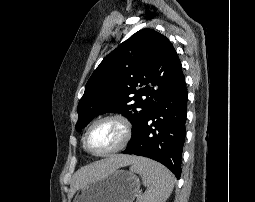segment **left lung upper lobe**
<instances>
[{"label": "left lung upper lobe", "instance_id": "1", "mask_svg": "<svg viewBox=\"0 0 255 202\" xmlns=\"http://www.w3.org/2000/svg\"><path fill=\"white\" fill-rule=\"evenodd\" d=\"M184 78L168 38L142 29L108 54L91 75L77 107L76 129L100 114L119 112L132 123L133 138L156 102Z\"/></svg>", "mask_w": 255, "mask_h": 202}]
</instances>
